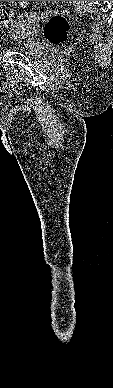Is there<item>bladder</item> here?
<instances>
[{
    "mask_svg": "<svg viewBox=\"0 0 113 388\" xmlns=\"http://www.w3.org/2000/svg\"><path fill=\"white\" fill-rule=\"evenodd\" d=\"M16 27L21 36H28L37 27V21L33 16H28L25 22H19ZM19 49L28 56L38 58L45 54L47 47L37 41H26Z\"/></svg>",
    "mask_w": 113,
    "mask_h": 388,
    "instance_id": "1",
    "label": "bladder"
}]
</instances>
